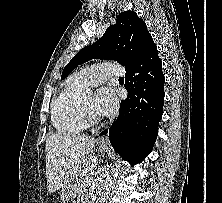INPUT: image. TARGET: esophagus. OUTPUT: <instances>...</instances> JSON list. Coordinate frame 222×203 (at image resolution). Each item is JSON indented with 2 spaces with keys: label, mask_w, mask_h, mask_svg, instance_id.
<instances>
[{
  "label": "esophagus",
  "mask_w": 222,
  "mask_h": 203,
  "mask_svg": "<svg viewBox=\"0 0 222 203\" xmlns=\"http://www.w3.org/2000/svg\"><path fill=\"white\" fill-rule=\"evenodd\" d=\"M100 146L107 147L109 146V140L108 137H102L99 141Z\"/></svg>",
  "instance_id": "esophagus-1"
}]
</instances>
